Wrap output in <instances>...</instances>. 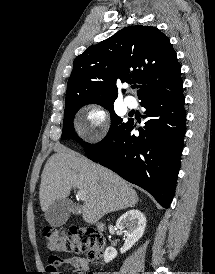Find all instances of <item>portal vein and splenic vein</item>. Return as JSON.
I'll use <instances>...</instances> for the list:
<instances>
[{"label":"portal vein and splenic vein","mask_w":215,"mask_h":274,"mask_svg":"<svg viewBox=\"0 0 215 274\" xmlns=\"http://www.w3.org/2000/svg\"><path fill=\"white\" fill-rule=\"evenodd\" d=\"M77 197L81 200H85L86 199V192L83 190H78L77 191Z\"/></svg>","instance_id":"1"}]
</instances>
